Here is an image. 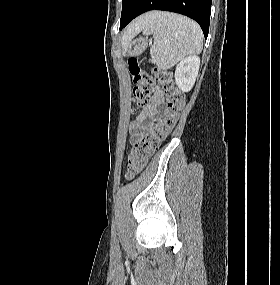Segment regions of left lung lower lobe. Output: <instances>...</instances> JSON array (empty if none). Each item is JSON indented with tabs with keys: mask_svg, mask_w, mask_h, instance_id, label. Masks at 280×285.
<instances>
[{
	"mask_svg": "<svg viewBox=\"0 0 280 285\" xmlns=\"http://www.w3.org/2000/svg\"><path fill=\"white\" fill-rule=\"evenodd\" d=\"M154 9L176 12L194 19L201 26L205 38L207 37L211 0H137L125 22L120 25V29L140 14Z\"/></svg>",
	"mask_w": 280,
	"mask_h": 285,
	"instance_id": "0a47b994",
	"label": "left lung lower lobe"
}]
</instances>
